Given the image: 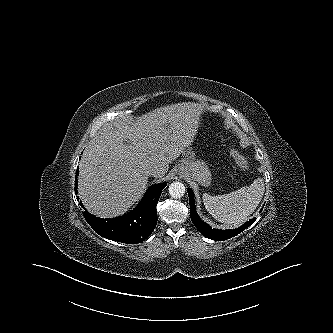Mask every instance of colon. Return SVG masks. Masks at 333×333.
Masks as SVG:
<instances>
[{
  "instance_id": "1",
  "label": "colon",
  "mask_w": 333,
  "mask_h": 333,
  "mask_svg": "<svg viewBox=\"0 0 333 333\" xmlns=\"http://www.w3.org/2000/svg\"><path fill=\"white\" fill-rule=\"evenodd\" d=\"M230 156L236 165V167L241 171H248L249 169V161L248 159L239 152V150L235 147H230L229 149Z\"/></svg>"
}]
</instances>
